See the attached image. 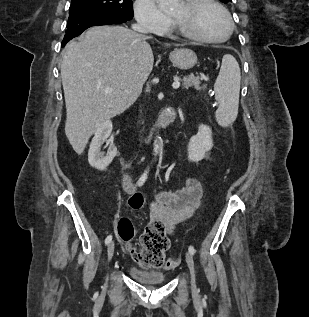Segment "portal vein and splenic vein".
Listing matches in <instances>:
<instances>
[{"instance_id": "obj_1", "label": "portal vein and splenic vein", "mask_w": 309, "mask_h": 317, "mask_svg": "<svg viewBox=\"0 0 309 317\" xmlns=\"http://www.w3.org/2000/svg\"><path fill=\"white\" fill-rule=\"evenodd\" d=\"M173 89H178L180 87V82L178 80H175L174 83L172 84ZM111 89L108 88L105 90L106 93L110 92Z\"/></svg>"}]
</instances>
